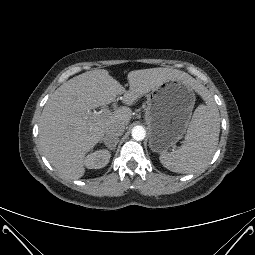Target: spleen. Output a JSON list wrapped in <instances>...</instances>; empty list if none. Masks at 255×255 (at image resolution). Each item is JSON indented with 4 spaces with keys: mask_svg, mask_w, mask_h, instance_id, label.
Masks as SVG:
<instances>
[{
    "mask_svg": "<svg viewBox=\"0 0 255 255\" xmlns=\"http://www.w3.org/2000/svg\"><path fill=\"white\" fill-rule=\"evenodd\" d=\"M205 101L195 109L179 149L160 155V162L168 170L188 174L210 163L218 145L220 118L215 102L208 96Z\"/></svg>",
    "mask_w": 255,
    "mask_h": 255,
    "instance_id": "1",
    "label": "spleen"
}]
</instances>
